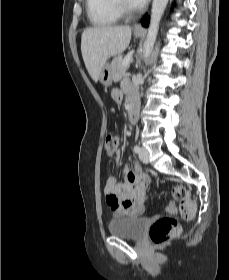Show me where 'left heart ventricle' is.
Returning a JSON list of instances; mask_svg holds the SVG:
<instances>
[{
    "label": "left heart ventricle",
    "instance_id": "b2bd125f",
    "mask_svg": "<svg viewBox=\"0 0 229 280\" xmlns=\"http://www.w3.org/2000/svg\"><path fill=\"white\" fill-rule=\"evenodd\" d=\"M125 1H126L127 5H128V4H129L128 1H127V0H125ZM129 6H130V5H129Z\"/></svg>",
    "mask_w": 229,
    "mask_h": 280
}]
</instances>
